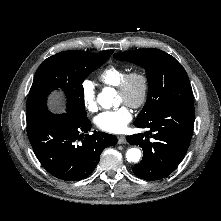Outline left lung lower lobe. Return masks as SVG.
Instances as JSON below:
<instances>
[{"mask_svg":"<svg viewBox=\"0 0 221 221\" xmlns=\"http://www.w3.org/2000/svg\"><path fill=\"white\" fill-rule=\"evenodd\" d=\"M194 119V104H181L160 109L146 121L134 123L138 128L150 129L145 135L127 136L129 144L143 149V158L133 168L134 174L149 181L171 174L188 150Z\"/></svg>","mask_w":221,"mask_h":221,"instance_id":"left-lung-lower-lobe-1","label":"left lung lower lobe"}]
</instances>
